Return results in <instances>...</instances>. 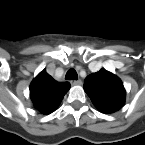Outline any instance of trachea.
Segmentation results:
<instances>
[{
	"label": "trachea",
	"instance_id": "3493384b",
	"mask_svg": "<svg viewBox=\"0 0 145 145\" xmlns=\"http://www.w3.org/2000/svg\"><path fill=\"white\" fill-rule=\"evenodd\" d=\"M65 78L77 80L78 79L77 72L74 69H69L65 75Z\"/></svg>",
	"mask_w": 145,
	"mask_h": 145
}]
</instances>
